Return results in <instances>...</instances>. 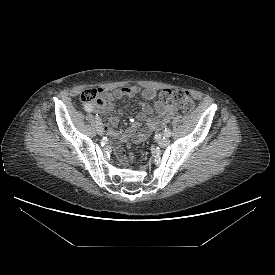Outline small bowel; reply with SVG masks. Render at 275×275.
<instances>
[{
  "mask_svg": "<svg viewBox=\"0 0 275 275\" xmlns=\"http://www.w3.org/2000/svg\"><path fill=\"white\" fill-rule=\"evenodd\" d=\"M101 97L104 99V104L95 105V109L104 113L105 121L112 127H117L119 119L109 115V112L114 108V102L123 97H134L140 94L144 100H153L156 93L153 89H141L138 86H124L113 91L99 89ZM92 106V105H91ZM93 107V106H92ZM141 111L137 114V119L140 122H145L146 127L143 128L133 139H122L115 145V151L119 158L125 157V150L132 143H140L145 141L153 132L164 128L177 113V107L173 104H168L163 101H154V106L151 107L145 101L140 103Z\"/></svg>",
  "mask_w": 275,
  "mask_h": 275,
  "instance_id": "obj_1",
  "label": "small bowel"
}]
</instances>
